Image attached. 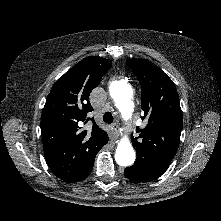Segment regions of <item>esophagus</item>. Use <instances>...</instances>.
I'll return each instance as SVG.
<instances>
[{
    "label": "esophagus",
    "instance_id": "1",
    "mask_svg": "<svg viewBox=\"0 0 221 221\" xmlns=\"http://www.w3.org/2000/svg\"><path fill=\"white\" fill-rule=\"evenodd\" d=\"M111 129H112V142L115 143L120 136L119 125L117 123H114Z\"/></svg>",
    "mask_w": 221,
    "mask_h": 221
}]
</instances>
